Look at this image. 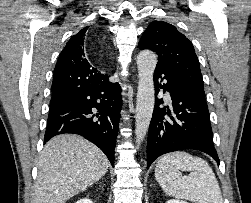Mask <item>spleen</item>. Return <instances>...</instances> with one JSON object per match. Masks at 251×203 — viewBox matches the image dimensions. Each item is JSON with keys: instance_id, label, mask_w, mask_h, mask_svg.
<instances>
[{"instance_id": "1", "label": "spleen", "mask_w": 251, "mask_h": 203, "mask_svg": "<svg viewBox=\"0 0 251 203\" xmlns=\"http://www.w3.org/2000/svg\"><path fill=\"white\" fill-rule=\"evenodd\" d=\"M181 171L190 174L182 176ZM155 178L169 196L195 203H223L212 168L202 158L189 153L173 152L159 158Z\"/></svg>"}]
</instances>
